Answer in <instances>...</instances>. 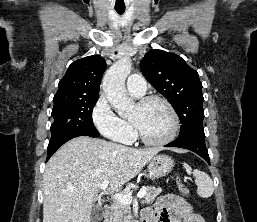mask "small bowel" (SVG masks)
I'll use <instances>...</instances> for the list:
<instances>
[{"label":"small bowel","instance_id":"1","mask_svg":"<svg viewBox=\"0 0 257 222\" xmlns=\"http://www.w3.org/2000/svg\"><path fill=\"white\" fill-rule=\"evenodd\" d=\"M143 222H205L201 215L194 213L191 205L181 196L161 197L144 212Z\"/></svg>","mask_w":257,"mask_h":222}]
</instances>
